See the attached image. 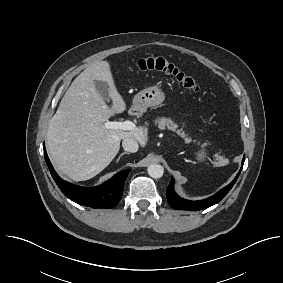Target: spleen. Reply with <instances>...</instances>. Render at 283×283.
Returning a JSON list of instances; mask_svg holds the SVG:
<instances>
[{
    "label": "spleen",
    "mask_w": 283,
    "mask_h": 283,
    "mask_svg": "<svg viewBox=\"0 0 283 283\" xmlns=\"http://www.w3.org/2000/svg\"><path fill=\"white\" fill-rule=\"evenodd\" d=\"M221 162H222V163H224V162H225V160H224L223 158H221Z\"/></svg>",
    "instance_id": "3e777b00"
}]
</instances>
